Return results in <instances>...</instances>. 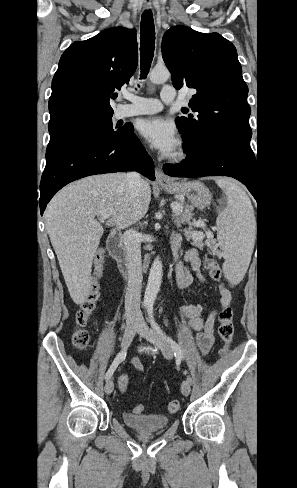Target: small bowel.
Instances as JSON below:
<instances>
[{
  "mask_svg": "<svg viewBox=\"0 0 297 488\" xmlns=\"http://www.w3.org/2000/svg\"><path fill=\"white\" fill-rule=\"evenodd\" d=\"M182 237L178 233H173L170 238L171 249L175 260L176 282L180 289H188L193 285H203L206 277L202 273V262L199 252L195 248L188 249L181 258L179 250ZM220 294V304L223 309L229 306L232 295L224 286L218 287ZM180 314L187 318V323L191 329L198 332L197 343L202 353H207L215 340V320L218 310H212L204 317V306L200 303L186 304L179 308ZM132 364L141 372L145 371L143 363L138 358L132 359ZM127 388V387H126Z\"/></svg>",
  "mask_w": 297,
  "mask_h": 488,
  "instance_id": "c3829d8e",
  "label": "small bowel"
}]
</instances>
